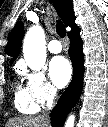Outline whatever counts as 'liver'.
Segmentation results:
<instances>
[{"label": "liver", "instance_id": "1", "mask_svg": "<svg viewBox=\"0 0 108 127\" xmlns=\"http://www.w3.org/2000/svg\"><path fill=\"white\" fill-rule=\"evenodd\" d=\"M5 127H50V123L43 121L41 116H25L10 118Z\"/></svg>", "mask_w": 108, "mask_h": 127}]
</instances>
